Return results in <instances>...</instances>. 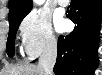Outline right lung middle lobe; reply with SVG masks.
I'll return each instance as SVG.
<instances>
[{
	"mask_svg": "<svg viewBox=\"0 0 102 75\" xmlns=\"http://www.w3.org/2000/svg\"><path fill=\"white\" fill-rule=\"evenodd\" d=\"M28 12H24L21 14H16L13 16L9 17V25H10V29H9V35H8V40H7V45H6V52L8 54V56L13 57L14 55V47H15V36H16V32L18 30V27L22 21V19L29 13Z\"/></svg>",
	"mask_w": 102,
	"mask_h": 75,
	"instance_id": "right-lung-middle-lobe-1",
	"label": "right lung middle lobe"
}]
</instances>
